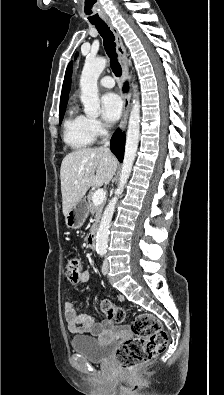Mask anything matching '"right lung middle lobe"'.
<instances>
[{"label":"right lung middle lobe","instance_id":"1","mask_svg":"<svg viewBox=\"0 0 224 395\" xmlns=\"http://www.w3.org/2000/svg\"><path fill=\"white\" fill-rule=\"evenodd\" d=\"M64 113H65V109L60 110V113H59V120H60L59 123H60V124H61V121H62V119H63Z\"/></svg>","mask_w":224,"mask_h":395}]
</instances>
